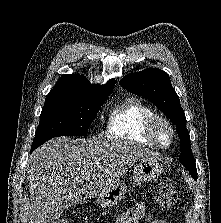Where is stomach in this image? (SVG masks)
<instances>
[{"label":"stomach","instance_id":"obj_1","mask_svg":"<svg viewBox=\"0 0 221 223\" xmlns=\"http://www.w3.org/2000/svg\"><path fill=\"white\" fill-rule=\"evenodd\" d=\"M162 173V166L156 159L140 160L135 167L133 184L154 181ZM128 186L124 183H117L106 193L98 196L97 204L102 207H113L120 203L126 194Z\"/></svg>","mask_w":221,"mask_h":223}]
</instances>
